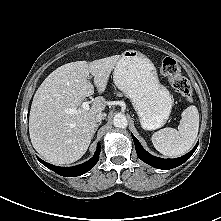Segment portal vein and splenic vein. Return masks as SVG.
<instances>
[{"instance_id":"18ae733b","label":"portal vein and splenic vein","mask_w":221,"mask_h":221,"mask_svg":"<svg viewBox=\"0 0 221 221\" xmlns=\"http://www.w3.org/2000/svg\"><path fill=\"white\" fill-rule=\"evenodd\" d=\"M89 101H85L82 103V110L86 111V110H89ZM66 112L69 113V114H77V113H80L81 110L79 109H66Z\"/></svg>"}]
</instances>
